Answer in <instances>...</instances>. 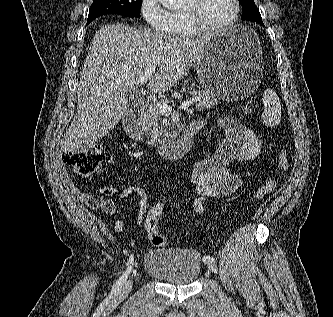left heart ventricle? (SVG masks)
<instances>
[{
	"label": "left heart ventricle",
	"mask_w": 333,
	"mask_h": 317,
	"mask_svg": "<svg viewBox=\"0 0 333 317\" xmlns=\"http://www.w3.org/2000/svg\"><path fill=\"white\" fill-rule=\"evenodd\" d=\"M186 2L183 3L184 7ZM232 0H200L198 17L206 25H217L226 21L233 13Z\"/></svg>",
	"instance_id": "obj_1"
}]
</instances>
